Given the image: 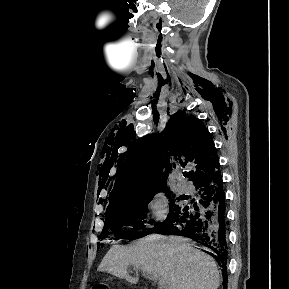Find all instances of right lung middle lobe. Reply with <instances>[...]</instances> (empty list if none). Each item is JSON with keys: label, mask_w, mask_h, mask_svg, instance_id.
<instances>
[{"label": "right lung middle lobe", "mask_w": 289, "mask_h": 289, "mask_svg": "<svg viewBox=\"0 0 289 289\" xmlns=\"http://www.w3.org/2000/svg\"><path fill=\"white\" fill-rule=\"evenodd\" d=\"M161 191H165L168 198H170L168 188L165 187L134 195L113 205H109L106 211L105 225L99 238L103 239L107 237L109 231L114 234L115 239L139 238L150 233L151 230L141 231L144 226L143 223L145 222H141V220L143 219L144 213L148 212V203L156 193ZM181 206L182 204L172 200L168 217Z\"/></svg>", "instance_id": "obj_1"}]
</instances>
